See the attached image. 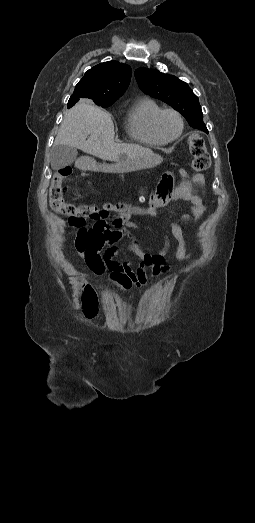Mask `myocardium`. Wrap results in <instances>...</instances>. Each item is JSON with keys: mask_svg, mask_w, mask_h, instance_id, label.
<instances>
[{"mask_svg": "<svg viewBox=\"0 0 255 523\" xmlns=\"http://www.w3.org/2000/svg\"><path fill=\"white\" fill-rule=\"evenodd\" d=\"M165 113H172L174 114L178 121H179V132L178 134L173 137V138H170V139H167L165 138L162 133L160 132V129H159V120L161 118V116ZM152 128H153V131L154 133L156 134V136L162 140L163 142L165 143H168V142H173L175 140H177L183 133V130H184V119H183V116L182 114L176 110L175 108H172V107H165V108H161L154 116L153 120H152Z\"/></svg>", "mask_w": 255, "mask_h": 523, "instance_id": "obj_1", "label": "myocardium"}]
</instances>
